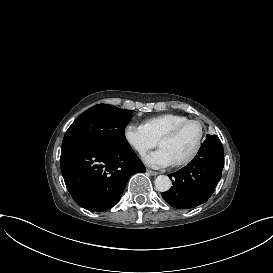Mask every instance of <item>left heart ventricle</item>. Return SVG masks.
<instances>
[{"label":"left heart ventricle","instance_id":"1","mask_svg":"<svg viewBox=\"0 0 273 273\" xmlns=\"http://www.w3.org/2000/svg\"><path fill=\"white\" fill-rule=\"evenodd\" d=\"M199 137V126L191 124L178 135L165 139L160 146L170 154L174 163L184 160L193 151Z\"/></svg>","mask_w":273,"mask_h":273}]
</instances>
